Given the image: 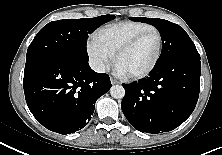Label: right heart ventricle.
Instances as JSON below:
<instances>
[{"instance_id": "e07e8e85", "label": "right heart ventricle", "mask_w": 222, "mask_h": 155, "mask_svg": "<svg viewBox=\"0 0 222 155\" xmlns=\"http://www.w3.org/2000/svg\"><path fill=\"white\" fill-rule=\"evenodd\" d=\"M151 28L154 26L146 22L123 21L105 26L98 32V36L115 53L120 46L131 38Z\"/></svg>"}]
</instances>
